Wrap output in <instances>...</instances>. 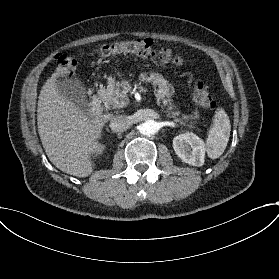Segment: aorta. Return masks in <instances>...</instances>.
<instances>
[{
  "label": "aorta",
  "mask_w": 279,
  "mask_h": 279,
  "mask_svg": "<svg viewBox=\"0 0 279 279\" xmlns=\"http://www.w3.org/2000/svg\"><path fill=\"white\" fill-rule=\"evenodd\" d=\"M139 130L143 135L150 136L158 132L159 124L152 119L146 120L144 123L139 125Z\"/></svg>",
  "instance_id": "1"
}]
</instances>
